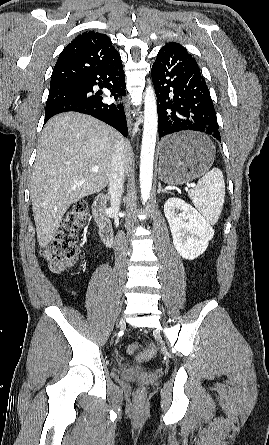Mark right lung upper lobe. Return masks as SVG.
Masks as SVG:
<instances>
[{
  "mask_svg": "<svg viewBox=\"0 0 269 445\" xmlns=\"http://www.w3.org/2000/svg\"><path fill=\"white\" fill-rule=\"evenodd\" d=\"M119 58L120 54L107 35L84 32L59 55L52 72L50 88L78 84L87 74Z\"/></svg>",
  "mask_w": 269,
  "mask_h": 445,
  "instance_id": "obj_1",
  "label": "right lung upper lobe"
}]
</instances>
